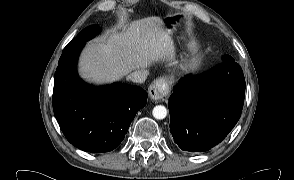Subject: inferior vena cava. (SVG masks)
I'll return each instance as SVG.
<instances>
[{
	"instance_id": "602c4592",
	"label": "inferior vena cava",
	"mask_w": 294,
	"mask_h": 180,
	"mask_svg": "<svg viewBox=\"0 0 294 180\" xmlns=\"http://www.w3.org/2000/svg\"><path fill=\"white\" fill-rule=\"evenodd\" d=\"M149 72L147 70H136L128 76V79L134 83H144Z\"/></svg>"
}]
</instances>
